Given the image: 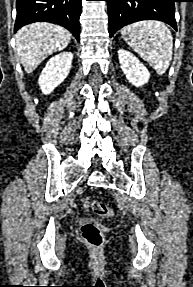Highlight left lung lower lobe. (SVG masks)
I'll list each match as a JSON object with an SVG mask.
<instances>
[{"instance_id": "1", "label": "left lung lower lobe", "mask_w": 193, "mask_h": 287, "mask_svg": "<svg viewBox=\"0 0 193 287\" xmlns=\"http://www.w3.org/2000/svg\"><path fill=\"white\" fill-rule=\"evenodd\" d=\"M108 2L110 37L125 25L141 20H160L174 29L177 0H105Z\"/></svg>"}]
</instances>
